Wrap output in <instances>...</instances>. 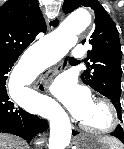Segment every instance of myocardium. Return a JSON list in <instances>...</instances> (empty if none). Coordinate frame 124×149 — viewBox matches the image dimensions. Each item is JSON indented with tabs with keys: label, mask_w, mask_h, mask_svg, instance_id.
I'll use <instances>...</instances> for the list:
<instances>
[{
	"label": "myocardium",
	"mask_w": 124,
	"mask_h": 149,
	"mask_svg": "<svg viewBox=\"0 0 124 149\" xmlns=\"http://www.w3.org/2000/svg\"><path fill=\"white\" fill-rule=\"evenodd\" d=\"M95 102L104 105L107 108L109 114V123L100 129H96L93 127L88 126L87 124L80 122L81 128L92 135L103 136L112 133L119 124V112L113 102L108 99L107 97H96L94 99Z\"/></svg>",
	"instance_id": "f54148a6"
}]
</instances>
